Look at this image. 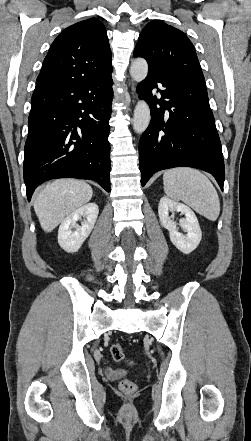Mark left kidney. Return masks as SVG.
Returning a JSON list of instances; mask_svg holds the SVG:
<instances>
[{"instance_id":"5707ae66","label":"left kidney","mask_w":251,"mask_h":441,"mask_svg":"<svg viewBox=\"0 0 251 441\" xmlns=\"http://www.w3.org/2000/svg\"><path fill=\"white\" fill-rule=\"evenodd\" d=\"M175 211L185 215V218L179 220V226L186 234L178 231L174 217L169 216V212ZM158 214L161 225L169 231L170 240L178 250L189 254L197 248L202 232L195 213L188 206L163 197L159 202Z\"/></svg>"}]
</instances>
